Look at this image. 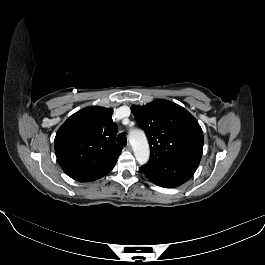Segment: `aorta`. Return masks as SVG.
I'll return each mask as SVG.
<instances>
[{
    "instance_id": "762f6f07",
    "label": "aorta",
    "mask_w": 265,
    "mask_h": 265,
    "mask_svg": "<svg viewBox=\"0 0 265 265\" xmlns=\"http://www.w3.org/2000/svg\"><path fill=\"white\" fill-rule=\"evenodd\" d=\"M129 141L138 163L140 165L146 164L150 158V149L144 132L141 130L130 131Z\"/></svg>"
}]
</instances>
